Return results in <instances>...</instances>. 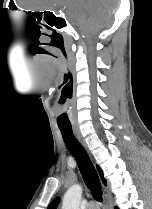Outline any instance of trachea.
I'll return each instance as SVG.
<instances>
[{
  "label": "trachea",
  "mask_w": 152,
  "mask_h": 209,
  "mask_svg": "<svg viewBox=\"0 0 152 209\" xmlns=\"http://www.w3.org/2000/svg\"><path fill=\"white\" fill-rule=\"evenodd\" d=\"M59 128L69 152L74 156L79 166L86 186L91 191L93 197L99 202H102L101 183L87 152L74 137L71 126H62Z\"/></svg>",
  "instance_id": "trachea-1"
}]
</instances>
